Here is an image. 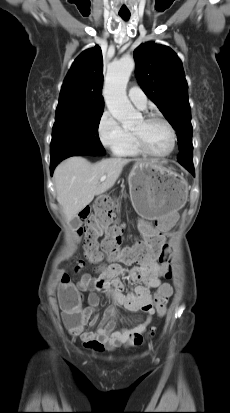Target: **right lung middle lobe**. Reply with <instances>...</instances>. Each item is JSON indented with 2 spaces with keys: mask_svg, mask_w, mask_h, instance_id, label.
<instances>
[{
  "mask_svg": "<svg viewBox=\"0 0 230 413\" xmlns=\"http://www.w3.org/2000/svg\"><path fill=\"white\" fill-rule=\"evenodd\" d=\"M102 113L56 116L50 144L51 162L71 156L104 155L98 126Z\"/></svg>",
  "mask_w": 230,
  "mask_h": 413,
  "instance_id": "obj_1",
  "label": "right lung middle lobe"
}]
</instances>
